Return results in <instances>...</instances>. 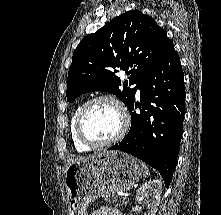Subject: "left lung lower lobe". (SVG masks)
<instances>
[{
    "label": "left lung lower lobe",
    "mask_w": 221,
    "mask_h": 215,
    "mask_svg": "<svg viewBox=\"0 0 221 215\" xmlns=\"http://www.w3.org/2000/svg\"><path fill=\"white\" fill-rule=\"evenodd\" d=\"M138 88L140 103L134 100L128 107L130 131L109 150L130 153L157 169L168 187L177 162L186 96L182 66L173 44ZM137 107L139 114L134 111Z\"/></svg>",
    "instance_id": "0a47b994"
}]
</instances>
